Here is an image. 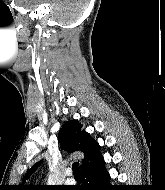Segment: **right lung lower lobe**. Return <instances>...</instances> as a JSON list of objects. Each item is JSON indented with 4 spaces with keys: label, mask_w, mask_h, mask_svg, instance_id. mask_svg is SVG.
<instances>
[{
    "label": "right lung lower lobe",
    "mask_w": 165,
    "mask_h": 190,
    "mask_svg": "<svg viewBox=\"0 0 165 190\" xmlns=\"http://www.w3.org/2000/svg\"><path fill=\"white\" fill-rule=\"evenodd\" d=\"M83 184L81 190H116L109 184L110 176L104 167V160L101 157L92 166L81 171Z\"/></svg>",
    "instance_id": "98d812e1"
}]
</instances>
